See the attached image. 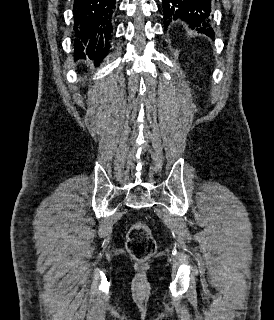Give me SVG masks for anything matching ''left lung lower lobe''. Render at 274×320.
I'll return each mask as SVG.
<instances>
[{"mask_svg":"<svg viewBox=\"0 0 274 320\" xmlns=\"http://www.w3.org/2000/svg\"><path fill=\"white\" fill-rule=\"evenodd\" d=\"M162 3L165 26L172 20L181 19L193 29L213 37L214 31L210 27L211 0H162Z\"/></svg>","mask_w":274,"mask_h":320,"instance_id":"left-lung-lower-lobe-1","label":"left lung lower lobe"}]
</instances>
